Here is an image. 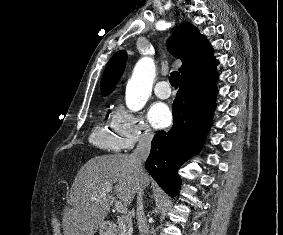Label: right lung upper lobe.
I'll return each mask as SVG.
<instances>
[{
    "label": "right lung upper lobe",
    "mask_w": 283,
    "mask_h": 235,
    "mask_svg": "<svg viewBox=\"0 0 283 235\" xmlns=\"http://www.w3.org/2000/svg\"><path fill=\"white\" fill-rule=\"evenodd\" d=\"M169 51L183 62L181 80L190 81L214 70L218 64L213 57L212 46L205 36L189 22H182L168 41ZM126 53L118 51L109 60L100 83L103 95L112 92L123 73Z\"/></svg>",
    "instance_id": "right-lung-upper-lobe-1"
}]
</instances>
